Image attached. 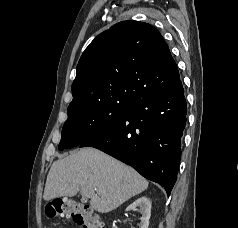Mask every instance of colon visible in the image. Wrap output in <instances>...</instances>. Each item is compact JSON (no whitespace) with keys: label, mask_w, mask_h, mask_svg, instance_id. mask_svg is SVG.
<instances>
[{"label":"colon","mask_w":238,"mask_h":228,"mask_svg":"<svg viewBox=\"0 0 238 228\" xmlns=\"http://www.w3.org/2000/svg\"><path fill=\"white\" fill-rule=\"evenodd\" d=\"M46 213L51 218L62 217L72 219L81 228H104L100 217L89 206L83 205L72 198L52 202L46 208Z\"/></svg>","instance_id":"5ec220e1"}]
</instances>
